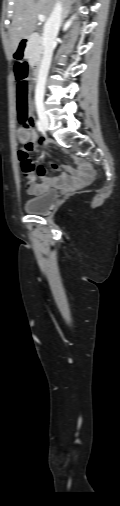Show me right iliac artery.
<instances>
[{"label":"right iliac artery","instance_id":"82829eb1","mask_svg":"<svg viewBox=\"0 0 120 506\" xmlns=\"http://www.w3.org/2000/svg\"><path fill=\"white\" fill-rule=\"evenodd\" d=\"M36 125H37V129H38L40 132H42V131H43V126H42V124H41V121L37 120Z\"/></svg>","mask_w":120,"mask_h":506}]
</instances>
